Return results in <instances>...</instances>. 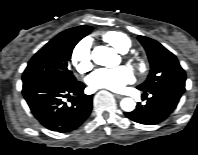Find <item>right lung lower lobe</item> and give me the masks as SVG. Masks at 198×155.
I'll use <instances>...</instances> for the list:
<instances>
[{
  "instance_id": "right-lung-lower-lobe-1",
  "label": "right lung lower lobe",
  "mask_w": 198,
  "mask_h": 155,
  "mask_svg": "<svg viewBox=\"0 0 198 155\" xmlns=\"http://www.w3.org/2000/svg\"><path fill=\"white\" fill-rule=\"evenodd\" d=\"M84 88L79 81L64 85L48 80H30L23 82L22 92L31 112L43 126L65 133L77 129L90 115L92 95L83 94ZM65 98L72 103L67 104Z\"/></svg>"
}]
</instances>
